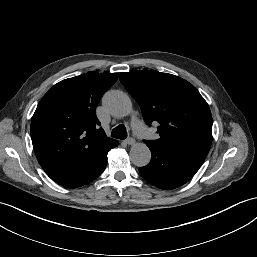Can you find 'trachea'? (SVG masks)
Here are the masks:
<instances>
[{
  "mask_svg": "<svg viewBox=\"0 0 257 257\" xmlns=\"http://www.w3.org/2000/svg\"><path fill=\"white\" fill-rule=\"evenodd\" d=\"M112 137L117 139H126L127 138V131L123 124L118 125L112 130L111 133Z\"/></svg>",
  "mask_w": 257,
  "mask_h": 257,
  "instance_id": "obj_1",
  "label": "trachea"
}]
</instances>
